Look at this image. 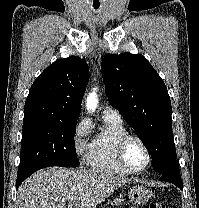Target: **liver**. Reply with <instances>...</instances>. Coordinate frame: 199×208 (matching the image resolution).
Listing matches in <instances>:
<instances>
[{"mask_svg": "<svg viewBox=\"0 0 199 208\" xmlns=\"http://www.w3.org/2000/svg\"><path fill=\"white\" fill-rule=\"evenodd\" d=\"M130 182L99 169L50 167L35 172L22 183L18 204L19 208H95L118 187Z\"/></svg>", "mask_w": 199, "mask_h": 208, "instance_id": "1", "label": "liver"}]
</instances>
